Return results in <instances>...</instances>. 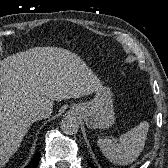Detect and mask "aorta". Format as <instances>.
<instances>
[{
	"label": "aorta",
	"mask_w": 168,
	"mask_h": 168,
	"mask_svg": "<svg viewBox=\"0 0 168 168\" xmlns=\"http://www.w3.org/2000/svg\"><path fill=\"white\" fill-rule=\"evenodd\" d=\"M61 129L67 135L76 134L79 129L78 120L73 116H66L61 121Z\"/></svg>",
	"instance_id": "obj_1"
}]
</instances>
